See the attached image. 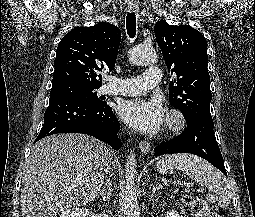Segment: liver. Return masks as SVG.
Returning <instances> with one entry per match:
<instances>
[{
	"label": "liver",
	"mask_w": 255,
	"mask_h": 217,
	"mask_svg": "<svg viewBox=\"0 0 255 217\" xmlns=\"http://www.w3.org/2000/svg\"><path fill=\"white\" fill-rule=\"evenodd\" d=\"M112 153L84 134L46 137L31 149L21 188L22 217H53L97 196Z\"/></svg>",
	"instance_id": "obj_1"
}]
</instances>
